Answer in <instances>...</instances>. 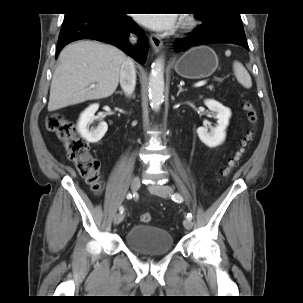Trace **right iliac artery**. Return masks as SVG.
Masks as SVG:
<instances>
[{
    "mask_svg": "<svg viewBox=\"0 0 303 303\" xmlns=\"http://www.w3.org/2000/svg\"><path fill=\"white\" fill-rule=\"evenodd\" d=\"M133 196H134V195H133ZM131 198H132V194H131V193L127 194V199H131ZM119 211H120V213H123V212H124L123 206L120 207Z\"/></svg>",
    "mask_w": 303,
    "mask_h": 303,
    "instance_id": "82829eb1",
    "label": "right iliac artery"
}]
</instances>
